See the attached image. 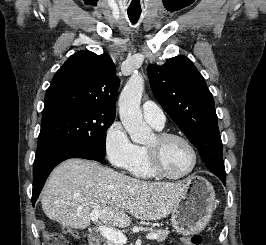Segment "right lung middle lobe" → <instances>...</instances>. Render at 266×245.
<instances>
[{"label":"right lung middle lobe","mask_w":266,"mask_h":245,"mask_svg":"<svg viewBox=\"0 0 266 245\" xmlns=\"http://www.w3.org/2000/svg\"><path fill=\"white\" fill-rule=\"evenodd\" d=\"M115 113L97 108H76L42 118L37 152L55 145H71L90 150L104 158L106 130Z\"/></svg>","instance_id":"dd1d6c3e"}]
</instances>
